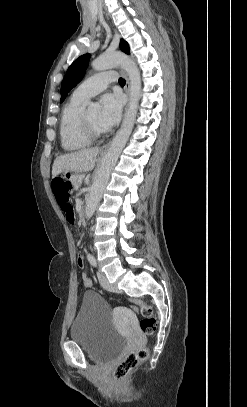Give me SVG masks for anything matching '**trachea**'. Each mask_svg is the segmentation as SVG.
I'll return each instance as SVG.
<instances>
[{
	"instance_id": "trachea-1",
	"label": "trachea",
	"mask_w": 247,
	"mask_h": 407,
	"mask_svg": "<svg viewBox=\"0 0 247 407\" xmlns=\"http://www.w3.org/2000/svg\"><path fill=\"white\" fill-rule=\"evenodd\" d=\"M119 84L124 85L125 84V80L123 78H119Z\"/></svg>"
}]
</instances>
